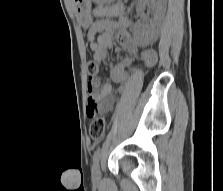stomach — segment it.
I'll return each instance as SVG.
<instances>
[{
    "label": "stomach",
    "mask_w": 223,
    "mask_h": 191,
    "mask_svg": "<svg viewBox=\"0 0 223 191\" xmlns=\"http://www.w3.org/2000/svg\"><path fill=\"white\" fill-rule=\"evenodd\" d=\"M99 1V0H93ZM76 15L80 23L84 27H88L91 23V0H72Z\"/></svg>",
    "instance_id": "stomach-1"
}]
</instances>
